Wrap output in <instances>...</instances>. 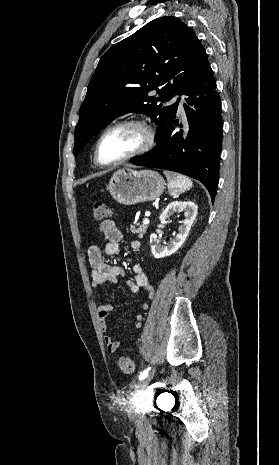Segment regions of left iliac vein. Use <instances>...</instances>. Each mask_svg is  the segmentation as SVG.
<instances>
[{"mask_svg": "<svg viewBox=\"0 0 279 465\" xmlns=\"http://www.w3.org/2000/svg\"><path fill=\"white\" fill-rule=\"evenodd\" d=\"M154 372H155L154 370L151 371L149 375H147L144 379L140 380L135 385L134 391L130 397L129 407H128V415L130 418H133L132 413H133V409L135 406V402L137 401L138 397L143 393V391L147 387L150 380L153 378Z\"/></svg>", "mask_w": 279, "mask_h": 465, "instance_id": "1", "label": "left iliac vein"}]
</instances>
